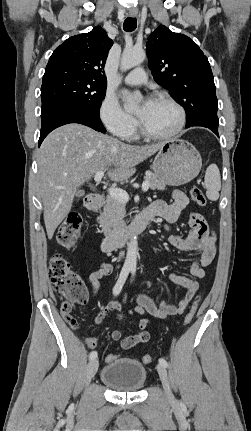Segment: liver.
Returning <instances> with one entry per match:
<instances>
[{
    "mask_svg": "<svg viewBox=\"0 0 251 431\" xmlns=\"http://www.w3.org/2000/svg\"><path fill=\"white\" fill-rule=\"evenodd\" d=\"M163 143L125 144L93 129L70 123L52 131L37 154V186L49 239L71 210L77 189L99 171L115 182L127 180L135 166L154 155Z\"/></svg>",
    "mask_w": 251,
    "mask_h": 431,
    "instance_id": "1",
    "label": "liver"
}]
</instances>
